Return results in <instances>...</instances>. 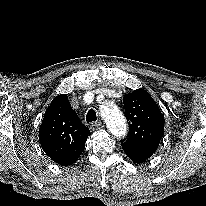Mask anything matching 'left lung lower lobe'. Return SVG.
Wrapping results in <instances>:
<instances>
[{
  "instance_id": "left-lung-lower-lobe-1",
  "label": "left lung lower lobe",
  "mask_w": 206,
  "mask_h": 206,
  "mask_svg": "<svg viewBox=\"0 0 206 206\" xmlns=\"http://www.w3.org/2000/svg\"><path fill=\"white\" fill-rule=\"evenodd\" d=\"M125 153L135 163H143L149 157L152 156V154L149 153L130 151V150H126Z\"/></svg>"
}]
</instances>
